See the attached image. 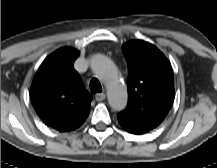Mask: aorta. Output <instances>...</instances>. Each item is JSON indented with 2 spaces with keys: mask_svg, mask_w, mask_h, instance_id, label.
I'll list each match as a JSON object with an SVG mask.
<instances>
[{
  "mask_svg": "<svg viewBox=\"0 0 217 168\" xmlns=\"http://www.w3.org/2000/svg\"><path fill=\"white\" fill-rule=\"evenodd\" d=\"M91 68L106 85L111 108L117 111L123 110L128 100L127 89L121 82L114 63L105 55L97 54L91 60Z\"/></svg>",
  "mask_w": 217,
  "mask_h": 168,
  "instance_id": "1",
  "label": "aorta"
}]
</instances>
